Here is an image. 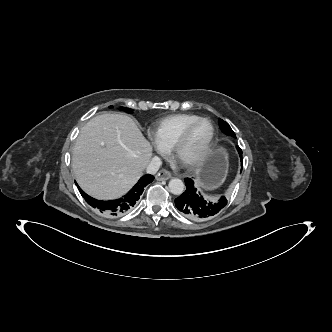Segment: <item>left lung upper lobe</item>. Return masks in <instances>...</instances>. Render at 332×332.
I'll list each match as a JSON object with an SVG mask.
<instances>
[{"mask_svg":"<svg viewBox=\"0 0 332 332\" xmlns=\"http://www.w3.org/2000/svg\"><path fill=\"white\" fill-rule=\"evenodd\" d=\"M218 122H219L220 129L222 130L223 133L230 135L234 138L236 137L235 133L233 132V130L231 129V127L229 126V124L227 122L223 121L222 119H219Z\"/></svg>","mask_w":332,"mask_h":332,"instance_id":"5c2ea615","label":"left lung upper lobe"}]
</instances>
